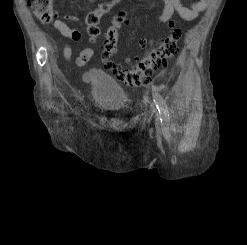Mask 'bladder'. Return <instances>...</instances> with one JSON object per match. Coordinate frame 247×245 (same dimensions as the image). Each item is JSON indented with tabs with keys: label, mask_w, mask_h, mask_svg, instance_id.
<instances>
[{
	"label": "bladder",
	"mask_w": 247,
	"mask_h": 245,
	"mask_svg": "<svg viewBox=\"0 0 247 245\" xmlns=\"http://www.w3.org/2000/svg\"><path fill=\"white\" fill-rule=\"evenodd\" d=\"M87 78L91 84L94 103L109 112H118L125 108L127 95L123 88L105 71L91 70Z\"/></svg>",
	"instance_id": "31cf9c89"
}]
</instances>
